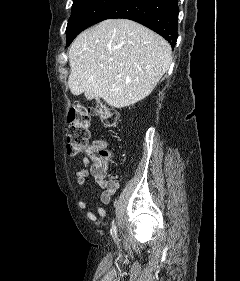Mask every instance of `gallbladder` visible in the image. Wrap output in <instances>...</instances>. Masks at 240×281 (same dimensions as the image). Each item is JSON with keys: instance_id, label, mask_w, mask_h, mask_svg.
I'll use <instances>...</instances> for the list:
<instances>
[{"instance_id": "obj_1", "label": "gallbladder", "mask_w": 240, "mask_h": 281, "mask_svg": "<svg viewBox=\"0 0 240 281\" xmlns=\"http://www.w3.org/2000/svg\"><path fill=\"white\" fill-rule=\"evenodd\" d=\"M84 95H85L86 98L92 99V96L89 93L85 92Z\"/></svg>"}]
</instances>
